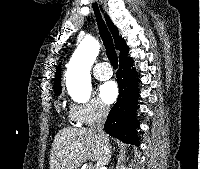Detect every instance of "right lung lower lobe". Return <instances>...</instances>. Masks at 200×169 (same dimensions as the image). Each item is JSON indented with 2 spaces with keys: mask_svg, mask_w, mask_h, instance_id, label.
<instances>
[{
  "mask_svg": "<svg viewBox=\"0 0 200 169\" xmlns=\"http://www.w3.org/2000/svg\"><path fill=\"white\" fill-rule=\"evenodd\" d=\"M132 66V58L126 56L120 59V67L117 72L119 97L117 103L109 112L104 130L125 143L139 145L136 134L139 122L135 117L138 100L137 82L139 79L136 78V70L131 69Z\"/></svg>",
  "mask_w": 200,
  "mask_h": 169,
  "instance_id": "obj_1",
  "label": "right lung lower lobe"
}]
</instances>
